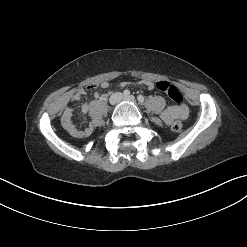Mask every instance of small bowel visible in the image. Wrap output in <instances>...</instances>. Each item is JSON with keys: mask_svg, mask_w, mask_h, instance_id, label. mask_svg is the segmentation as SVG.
<instances>
[{"mask_svg": "<svg viewBox=\"0 0 247 247\" xmlns=\"http://www.w3.org/2000/svg\"><path fill=\"white\" fill-rule=\"evenodd\" d=\"M141 83L148 90L154 89V83L151 80H143ZM126 85H127L126 82H123L121 84L122 87ZM99 86L102 88H108L109 82L102 81L100 84H91L87 87V89L93 90L98 88ZM85 94H86L85 89L83 88L77 89L71 96V103L80 100ZM101 97L102 95H100L99 93L97 92L94 93L95 99H100ZM88 110H89V104L88 103L83 104L81 107L82 114H87ZM73 113H74V109L73 106L70 104L66 107L61 117V123L64 129L71 136L76 138H84L89 136L93 131V127H94L93 123H89L84 129H78L75 127L72 121ZM187 116H188V107L185 104L170 106L167 109H165L161 115L163 121L168 125H170L175 120H185Z\"/></svg>", "mask_w": 247, "mask_h": 247, "instance_id": "1", "label": "small bowel"}]
</instances>
